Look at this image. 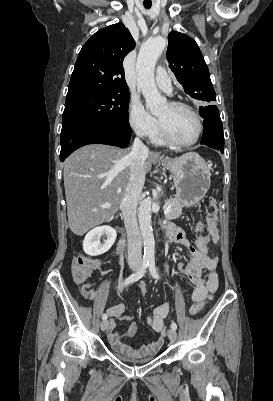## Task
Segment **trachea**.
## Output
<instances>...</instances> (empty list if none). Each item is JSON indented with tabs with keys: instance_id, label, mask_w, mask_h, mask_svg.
<instances>
[{
	"instance_id": "trachea-1",
	"label": "trachea",
	"mask_w": 273,
	"mask_h": 401,
	"mask_svg": "<svg viewBox=\"0 0 273 401\" xmlns=\"http://www.w3.org/2000/svg\"><path fill=\"white\" fill-rule=\"evenodd\" d=\"M144 7L149 9V8H151V5H144Z\"/></svg>"
}]
</instances>
